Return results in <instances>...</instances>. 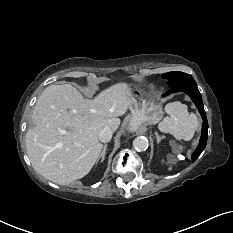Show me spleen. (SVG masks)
<instances>
[{
    "label": "spleen",
    "instance_id": "spleen-1",
    "mask_svg": "<svg viewBox=\"0 0 233 233\" xmlns=\"http://www.w3.org/2000/svg\"><path fill=\"white\" fill-rule=\"evenodd\" d=\"M165 112L168 116L159 123V130L170 133L177 140H191L199 126L196 115L189 114L187 106L179 101L168 103Z\"/></svg>",
    "mask_w": 233,
    "mask_h": 233
}]
</instances>
